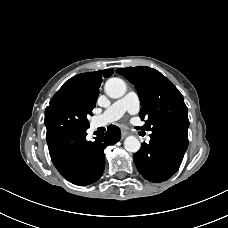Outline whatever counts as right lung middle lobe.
<instances>
[{
    "mask_svg": "<svg viewBox=\"0 0 228 228\" xmlns=\"http://www.w3.org/2000/svg\"><path fill=\"white\" fill-rule=\"evenodd\" d=\"M92 110L70 95L56 93L45 109L47 140L63 132L88 129V117L93 115Z\"/></svg>",
    "mask_w": 228,
    "mask_h": 228,
    "instance_id": "1",
    "label": "right lung middle lobe"
}]
</instances>
